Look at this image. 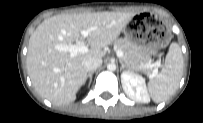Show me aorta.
I'll return each mask as SVG.
<instances>
[{"mask_svg": "<svg viewBox=\"0 0 203 123\" xmlns=\"http://www.w3.org/2000/svg\"><path fill=\"white\" fill-rule=\"evenodd\" d=\"M107 69L110 70V71H114L116 69V66H115L114 63H111V64L107 65Z\"/></svg>", "mask_w": 203, "mask_h": 123, "instance_id": "aorta-1", "label": "aorta"}]
</instances>
